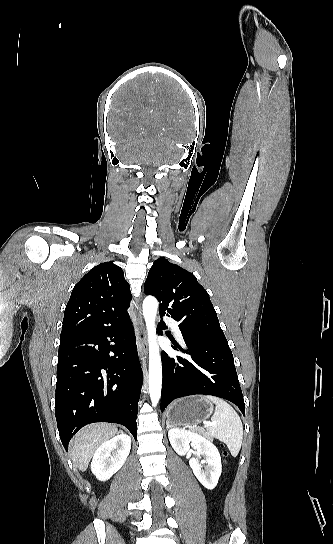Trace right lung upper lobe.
<instances>
[{
	"mask_svg": "<svg viewBox=\"0 0 333 544\" xmlns=\"http://www.w3.org/2000/svg\"><path fill=\"white\" fill-rule=\"evenodd\" d=\"M131 299L123 270L113 261L97 265L72 290L60 341L119 323L129 315Z\"/></svg>",
	"mask_w": 333,
	"mask_h": 544,
	"instance_id": "cb5924a9",
	"label": "right lung upper lobe"
}]
</instances>
